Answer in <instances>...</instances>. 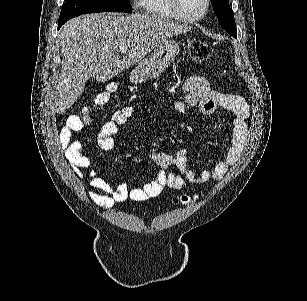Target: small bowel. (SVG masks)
<instances>
[{"label": "small bowel", "mask_w": 307, "mask_h": 301, "mask_svg": "<svg viewBox=\"0 0 307 301\" xmlns=\"http://www.w3.org/2000/svg\"><path fill=\"white\" fill-rule=\"evenodd\" d=\"M186 96L175 104L179 113H184L189 107L196 108L202 113H212L217 107H222L232 113V138L224 158L212 170H203L194 173L187 167V151L179 149L174 156L155 152L151 159L161 167L153 178L142 187L130 188L124 183L113 185L99 177L92 169L91 160L83 153V144L73 139L74 134L81 130L82 123L79 117L71 116L67 119L60 131V146L74 169L80 172L87 171L90 190V200L105 209L112 208L116 203L127 199L144 201L158 196L164 188L180 190L186 185L200 186L209 180L218 181L224 177L228 169L239 160L248 137L249 107L247 102L238 95L222 93L211 89L209 82L202 76H192L184 83ZM132 106H123L117 109L110 120L105 122L98 135L97 144L102 150H110L114 146V136L133 115ZM176 166L181 174L167 172L169 166Z\"/></svg>", "instance_id": "small-bowel-1"}]
</instances>
